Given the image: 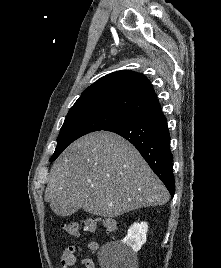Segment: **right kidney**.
I'll list each match as a JSON object with an SVG mask.
<instances>
[{
	"label": "right kidney",
	"instance_id": "ca27d5eb",
	"mask_svg": "<svg viewBox=\"0 0 221 268\" xmlns=\"http://www.w3.org/2000/svg\"><path fill=\"white\" fill-rule=\"evenodd\" d=\"M147 231L148 224L146 222L134 223L128 229L127 236L123 239L124 245L137 252L146 243Z\"/></svg>",
	"mask_w": 221,
	"mask_h": 268
}]
</instances>
